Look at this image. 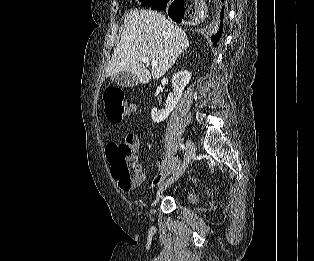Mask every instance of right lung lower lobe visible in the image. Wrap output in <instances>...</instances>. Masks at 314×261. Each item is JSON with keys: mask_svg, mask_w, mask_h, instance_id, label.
I'll list each match as a JSON object with an SVG mask.
<instances>
[{"mask_svg": "<svg viewBox=\"0 0 314 261\" xmlns=\"http://www.w3.org/2000/svg\"><path fill=\"white\" fill-rule=\"evenodd\" d=\"M178 0H162L160 3L155 4L152 6L151 9L155 10H164L166 9L168 11V15L170 18H172L173 21L181 22L182 20H185V11L183 6L180 2H177ZM225 0H218V2L223 3ZM219 24L218 28L213 29V34L211 36V40L213 42V45L216 46L219 42L222 33H223V20H224V6L219 7Z\"/></svg>", "mask_w": 314, "mask_h": 261, "instance_id": "1", "label": "right lung lower lobe"}]
</instances>
